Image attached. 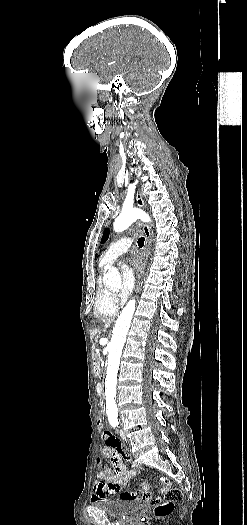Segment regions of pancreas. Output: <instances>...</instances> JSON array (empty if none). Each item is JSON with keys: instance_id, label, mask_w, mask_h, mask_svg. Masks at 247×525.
<instances>
[{"instance_id": "1", "label": "pancreas", "mask_w": 247, "mask_h": 525, "mask_svg": "<svg viewBox=\"0 0 247 525\" xmlns=\"http://www.w3.org/2000/svg\"><path fill=\"white\" fill-rule=\"evenodd\" d=\"M97 352H100V349H94V352H93V355H94V356H93V359H94L95 361H98V360L100 359V356H99V354H97Z\"/></svg>"}]
</instances>
